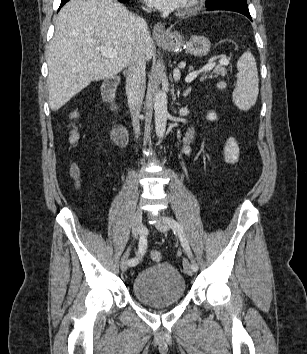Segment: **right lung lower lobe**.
<instances>
[{
    "label": "right lung lower lobe",
    "instance_id": "right-lung-lower-lobe-1",
    "mask_svg": "<svg viewBox=\"0 0 307 354\" xmlns=\"http://www.w3.org/2000/svg\"><path fill=\"white\" fill-rule=\"evenodd\" d=\"M69 0H61V5H60V8L66 3V2H68ZM118 1H120V2H122V3H125V2H127V1H129V0H118Z\"/></svg>",
    "mask_w": 307,
    "mask_h": 354
}]
</instances>
